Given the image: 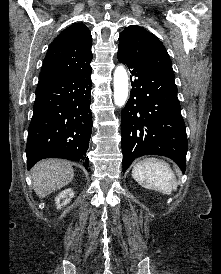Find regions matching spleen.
I'll use <instances>...</instances> for the list:
<instances>
[{"label":"spleen","mask_w":221,"mask_h":274,"mask_svg":"<svg viewBox=\"0 0 221 274\" xmlns=\"http://www.w3.org/2000/svg\"><path fill=\"white\" fill-rule=\"evenodd\" d=\"M132 177L146 189L171 194L177 189V180L170 166L162 160L147 158L136 163L132 169Z\"/></svg>","instance_id":"spleen-1"}]
</instances>
